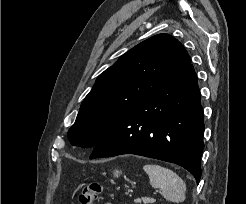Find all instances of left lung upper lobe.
I'll list each match as a JSON object with an SVG mask.
<instances>
[{
	"mask_svg": "<svg viewBox=\"0 0 246 204\" xmlns=\"http://www.w3.org/2000/svg\"><path fill=\"white\" fill-rule=\"evenodd\" d=\"M189 64L187 51L168 34L141 42L99 75L68 131L70 143L94 148L118 121Z\"/></svg>",
	"mask_w": 246,
	"mask_h": 204,
	"instance_id": "obj_1",
	"label": "left lung upper lobe"
}]
</instances>
